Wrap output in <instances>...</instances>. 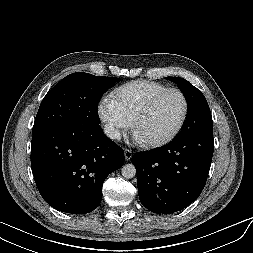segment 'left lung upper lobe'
Instances as JSON below:
<instances>
[{"label": "left lung upper lobe", "instance_id": "1", "mask_svg": "<svg viewBox=\"0 0 253 253\" xmlns=\"http://www.w3.org/2000/svg\"><path fill=\"white\" fill-rule=\"evenodd\" d=\"M167 79L178 84L188 105L186 121L178 135L213 129L211 112L202 92L183 78L167 77Z\"/></svg>", "mask_w": 253, "mask_h": 253}]
</instances>
